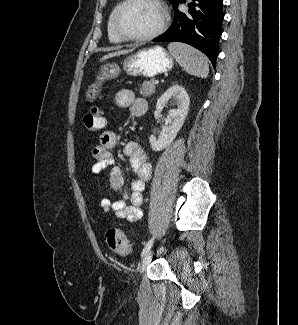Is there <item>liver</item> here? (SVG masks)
<instances>
[{
  "label": "liver",
  "instance_id": "1",
  "mask_svg": "<svg viewBox=\"0 0 298 325\" xmlns=\"http://www.w3.org/2000/svg\"><path fill=\"white\" fill-rule=\"evenodd\" d=\"M132 48H124V50H115V52H108V54H103L101 58H99V62L102 60H106V58H112V56H120V54H128L131 52Z\"/></svg>",
  "mask_w": 298,
  "mask_h": 325
}]
</instances>
